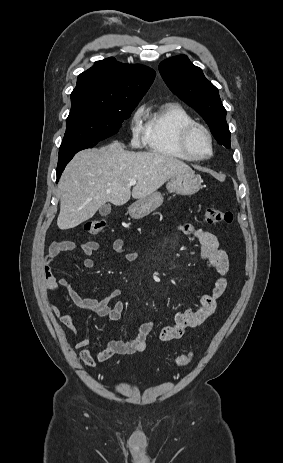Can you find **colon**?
<instances>
[{
	"label": "colon",
	"instance_id": "1",
	"mask_svg": "<svg viewBox=\"0 0 283 463\" xmlns=\"http://www.w3.org/2000/svg\"><path fill=\"white\" fill-rule=\"evenodd\" d=\"M205 221L208 224H222L232 222V214L229 211L217 209V208H208L204 213ZM106 226V222L103 219H94L85 223L84 230L91 235H96L101 233ZM193 358V354H185L177 358L176 364L178 366H184L188 364Z\"/></svg>",
	"mask_w": 283,
	"mask_h": 463
}]
</instances>
